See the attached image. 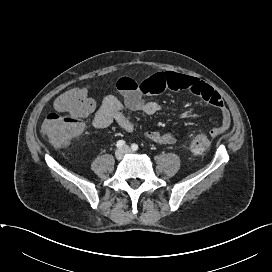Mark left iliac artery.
<instances>
[{"instance_id": "left-iliac-artery-1", "label": "left iliac artery", "mask_w": 272, "mask_h": 272, "mask_svg": "<svg viewBox=\"0 0 272 272\" xmlns=\"http://www.w3.org/2000/svg\"><path fill=\"white\" fill-rule=\"evenodd\" d=\"M131 148H132L133 151H136V150H138V145L137 144H132Z\"/></svg>"}]
</instances>
